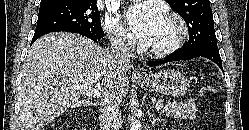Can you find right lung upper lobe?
I'll list each match as a JSON object with an SVG mask.
<instances>
[{"label":"right lung upper lobe","mask_w":249,"mask_h":130,"mask_svg":"<svg viewBox=\"0 0 249 130\" xmlns=\"http://www.w3.org/2000/svg\"><path fill=\"white\" fill-rule=\"evenodd\" d=\"M65 0H41L40 6H47V5H53L61 3Z\"/></svg>","instance_id":"cb5924a9"}]
</instances>
